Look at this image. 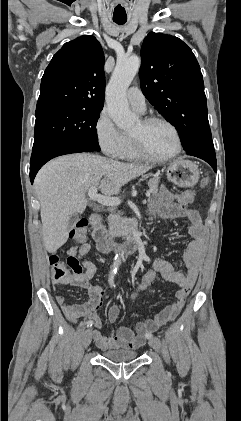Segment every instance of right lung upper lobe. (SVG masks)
<instances>
[{
	"label": "right lung upper lobe",
	"mask_w": 241,
	"mask_h": 421,
	"mask_svg": "<svg viewBox=\"0 0 241 421\" xmlns=\"http://www.w3.org/2000/svg\"><path fill=\"white\" fill-rule=\"evenodd\" d=\"M104 54L94 36L65 43L46 68L36 109L63 106L102 109Z\"/></svg>",
	"instance_id": "right-lung-upper-lobe-1"
}]
</instances>
